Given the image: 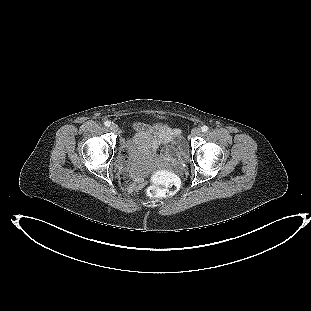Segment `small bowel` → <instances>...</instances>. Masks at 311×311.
<instances>
[{"mask_svg":"<svg viewBox=\"0 0 311 311\" xmlns=\"http://www.w3.org/2000/svg\"><path fill=\"white\" fill-rule=\"evenodd\" d=\"M136 130L139 136L144 140L146 148L153 150L160 145L174 143L176 145V150H171L169 153L175 155L179 160L185 157L186 150L180 138L179 130L173 129L165 123H157L152 126L137 124ZM122 174L127 180L125 187H132L130 177L138 176L139 169L137 167H134L129 171L123 169Z\"/></svg>","mask_w":311,"mask_h":311,"instance_id":"c3829d8e","label":"small bowel"}]
</instances>
